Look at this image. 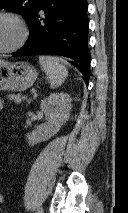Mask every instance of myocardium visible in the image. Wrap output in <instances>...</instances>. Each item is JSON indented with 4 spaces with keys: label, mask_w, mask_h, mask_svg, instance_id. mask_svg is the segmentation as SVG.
<instances>
[{
    "label": "myocardium",
    "mask_w": 128,
    "mask_h": 213,
    "mask_svg": "<svg viewBox=\"0 0 128 213\" xmlns=\"http://www.w3.org/2000/svg\"><path fill=\"white\" fill-rule=\"evenodd\" d=\"M0 17H7L12 19L19 28V37L17 41L10 47L5 49H0V54L13 53L19 50L26 42L28 38V27L24 19L17 13L8 10H1Z\"/></svg>",
    "instance_id": "1"
}]
</instances>
